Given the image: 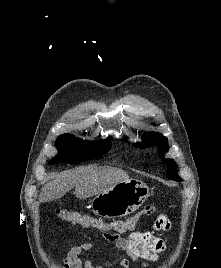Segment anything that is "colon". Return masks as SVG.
<instances>
[{"mask_svg":"<svg viewBox=\"0 0 221 268\" xmlns=\"http://www.w3.org/2000/svg\"><path fill=\"white\" fill-rule=\"evenodd\" d=\"M155 211V206L148 205L130 217L113 221H105L96 216L68 209L58 210L57 216L61 220L69 222L72 225L80 226L81 228L95 229L102 232L125 233L133 230L142 218L152 215Z\"/></svg>","mask_w":221,"mask_h":268,"instance_id":"5ec220e1","label":"colon"}]
</instances>
